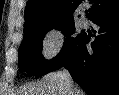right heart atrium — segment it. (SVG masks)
Here are the masks:
<instances>
[{"label":"right heart atrium","mask_w":119,"mask_h":95,"mask_svg":"<svg viewBox=\"0 0 119 95\" xmlns=\"http://www.w3.org/2000/svg\"><path fill=\"white\" fill-rule=\"evenodd\" d=\"M64 43V34L61 29H50L42 40L41 52L46 60L55 58L62 49Z\"/></svg>","instance_id":"right-heart-atrium-1"}]
</instances>
